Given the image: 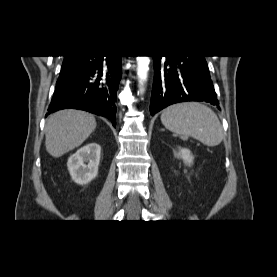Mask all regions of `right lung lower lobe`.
I'll list each match as a JSON object with an SVG mask.
<instances>
[{
    "label": "right lung lower lobe",
    "instance_id": "98d812e1",
    "mask_svg": "<svg viewBox=\"0 0 277 277\" xmlns=\"http://www.w3.org/2000/svg\"><path fill=\"white\" fill-rule=\"evenodd\" d=\"M121 56H72L61 67L48 113L65 108L107 117L116 125Z\"/></svg>",
    "mask_w": 277,
    "mask_h": 277
}]
</instances>
